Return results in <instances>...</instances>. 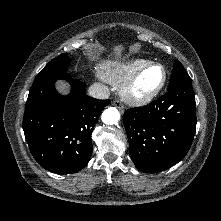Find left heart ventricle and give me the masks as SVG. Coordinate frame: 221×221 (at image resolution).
<instances>
[{"label":"left heart ventricle","instance_id":"b2bd125f","mask_svg":"<svg viewBox=\"0 0 221 221\" xmlns=\"http://www.w3.org/2000/svg\"><path fill=\"white\" fill-rule=\"evenodd\" d=\"M162 71L158 67H153L146 71L139 82V87L143 89H151L157 86L161 80Z\"/></svg>","mask_w":221,"mask_h":221}]
</instances>
